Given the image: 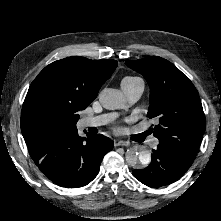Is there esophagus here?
I'll use <instances>...</instances> for the list:
<instances>
[{
    "instance_id": "esophagus-1",
    "label": "esophagus",
    "mask_w": 221,
    "mask_h": 221,
    "mask_svg": "<svg viewBox=\"0 0 221 221\" xmlns=\"http://www.w3.org/2000/svg\"><path fill=\"white\" fill-rule=\"evenodd\" d=\"M131 144L129 142L126 141H118L115 143V146H124V147H129Z\"/></svg>"
}]
</instances>
